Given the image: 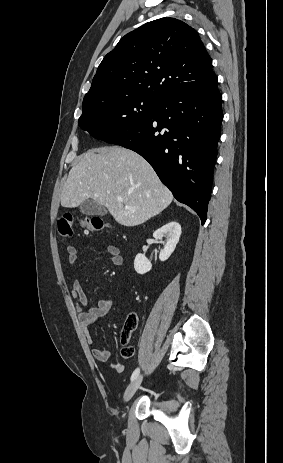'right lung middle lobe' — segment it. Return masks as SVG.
I'll list each match as a JSON object with an SVG mask.
<instances>
[{"mask_svg":"<svg viewBox=\"0 0 283 463\" xmlns=\"http://www.w3.org/2000/svg\"><path fill=\"white\" fill-rule=\"evenodd\" d=\"M157 104L141 95H110L84 104L78 124L93 137L107 141L146 121Z\"/></svg>","mask_w":283,"mask_h":463,"instance_id":"right-lung-middle-lobe-1","label":"right lung middle lobe"}]
</instances>
